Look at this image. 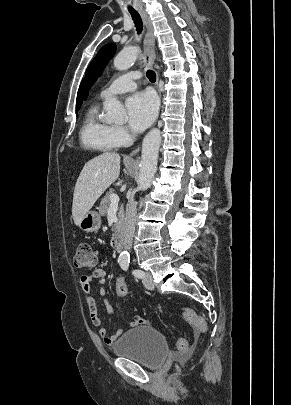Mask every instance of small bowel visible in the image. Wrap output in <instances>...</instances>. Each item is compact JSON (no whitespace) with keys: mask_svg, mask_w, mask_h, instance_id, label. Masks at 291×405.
<instances>
[{"mask_svg":"<svg viewBox=\"0 0 291 405\" xmlns=\"http://www.w3.org/2000/svg\"><path fill=\"white\" fill-rule=\"evenodd\" d=\"M107 278V273L103 269H97L95 270L92 275H83L80 278V285L82 287V290L85 293V301L89 310V315L92 324L97 327V332L98 335L103 338L104 342L108 345H112L117 341V339L122 336L124 333L123 329H118L115 333L112 335L107 334V329L106 327L103 326L102 324V318L98 313L96 301L94 297L91 294V284L93 280H96L100 285V295L103 297V302L104 306L106 308V311L108 314L113 313V307L110 302V300L106 296V289L104 287V284L106 282ZM144 323V319L141 318L140 316H136L135 319L130 323V327H136L138 325H141Z\"/></svg>","mask_w":291,"mask_h":405,"instance_id":"small-bowel-1","label":"small bowel"}]
</instances>
